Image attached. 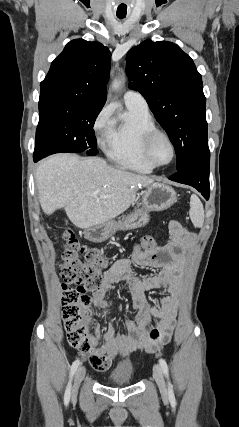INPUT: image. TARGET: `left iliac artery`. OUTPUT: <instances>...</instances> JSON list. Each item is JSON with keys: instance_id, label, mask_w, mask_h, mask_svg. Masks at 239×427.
Segmentation results:
<instances>
[{"instance_id": "1", "label": "left iliac artery", "mask_w": 239, "mask_h": 427, "mask_svg": "<svg viewBox=\"0 0 239 427\" xmlns=\"http://www.w3.org/2000/svg\"><path fill=\"white\" fill-rule=\"evenodd\" d=\"M159 364L161 366V369L164 373V375L166 376V378L168 379V395H169V399L171 400L172 403H175V397H174V391H173V386L169 380V372H168V366L167 363L164 359H160L159 360Z\"/></svg>"}]
</instances>
